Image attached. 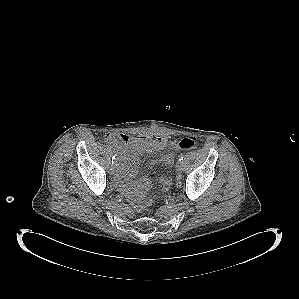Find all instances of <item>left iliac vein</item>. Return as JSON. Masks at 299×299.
<instances>
[{
  "instance_id": "obj_1",
  "label": "left iliac vein",
  "mask_w": 299,
  "mask_h": 299,
  "mask_svg": "<svg viewBox=\"0 0 299 299\" xmlns=\"http://www.w3.org/2000/svg\"><path fill=\"white\" fill-rule=\"evenodd\" d=\"M176 169H177V171H182V169H183V162L178 161L176 163Z\"/></svg>"
}]
</instances>
